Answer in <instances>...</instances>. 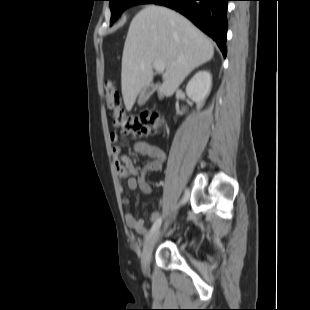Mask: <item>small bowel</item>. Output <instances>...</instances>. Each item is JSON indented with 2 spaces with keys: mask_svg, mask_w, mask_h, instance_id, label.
Masks as SVG:
<instances>
[{
  "mask_svg": "<svg viewBox=\"0 0 310 310\" xmlns=\"http://www.w3.org/2000/svg\"><path fill=\"white\" fill-rule=\"evenodd\" d=\"M112 146V156L114 158V165L118 179L120 181L127 180V186L130 190H136L140 188L144 193L150 194L152 192L151 186L146 182V176L150 172L159 171L165 163L166 154L157 145L137 141L134 144V150L151 160L147 162L142 168L135 166L131 158L123 155L121 148L116 145L117 142L121 141L124 143L128 142V139L116 132H111L109 136ZM120 191L123 192V187L120 186ZM124 204L129 203L128 198L123 199ZM160 217L159 212H153L150 215L151 221H156ZM125 221L127 226L134 230L140 235H144L147 232V226L143 219H137L131 212H127L125 215Z\"/></svg>",
  "mask_w": 310,
  "mask_h": 310,
  "instance_id": "obj_1",
  "label": "small bowel"
}]
</instances>
